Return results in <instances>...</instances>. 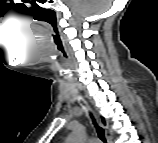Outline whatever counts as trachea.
<instances>
[{
	"mask_svg": "<svg viewBox=\"0 0 158 143\" xmlns=\"http://www.w3.org/2000/svg\"><path fill=\"white\" fill-rule=\"evenodd\" d=\"M90 116H91V118H92L93 124H94L95 127H96L98 136L100 137L101 140L105 141L104 130H103L102 128H100V127L97 125L96 120L94 119L93 115L90 114Z\"/></svg>",
	"mask_w": 158,
	"mask_h": 143,
	"instance_id": "trachea-1",
	"label": "trachea"
}]
</instances>
